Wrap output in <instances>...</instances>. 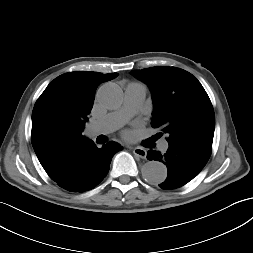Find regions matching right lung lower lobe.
I'll use <instances>...</instances> for the list:
<instances>
[{
    "mask_svg": "<svg viewBox=\"0 0 253 253\" xmlns=\"http://www.w3.org/2000/svg\"><path fill=\"white\" fill-rule=\"evenodd\" d=\"M122 150L116 142H108L102 148L90 144L75 154L68 170V178L60 187L71 192H85L97 186L107 175L112 157Z\"/></svg>",
    "mask_w": 253,
    "mask_h": 253,
    "instance_id": "1",
    "label": "right lung lower lobe"
}]
</instances>
